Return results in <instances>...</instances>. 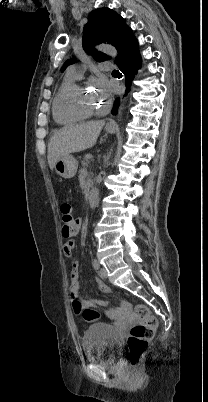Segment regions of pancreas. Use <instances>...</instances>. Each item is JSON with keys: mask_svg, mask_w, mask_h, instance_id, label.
I'll return each instance as SVG.
<instances>
[{"mask_svg": "<svg viewBox=\"0 0 208 402\" xmlns=\"http://www.w3.org/2000/svg\"><path fill=\"white\" fill-rule=\"evenodd\" d=\"M90 158H92L91 154H86V156L84 158V162H82L83 168H81V170H86V168L88 166V160H90Z\"/></svg>", "mask_w": 208, "mask_h": 402, "instance_id": "obj_1", "label": "pancreas"}]
</instances>
